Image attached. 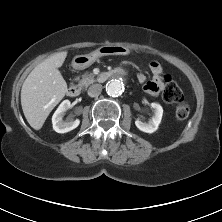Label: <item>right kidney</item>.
<instances>
[{"label": "right kidney", "mask_w": 222, "mask_h": 222, "mask_svg": "<svg viewBox=\"0 0 222 222\" xmlns=\"http://www.w3.org/2000/svg\"><path fill=\"white\" fill-rule=\"evenodd\" d=\"M70 106H71L70 101L64 100L59 105V107L57 108V110L55 111V113L52 116L53 129L57 133L69 132V131L75 129L76 127H78L80 124L79 119L73 120L72 118H69L66 121L63 120V116H64L65 112L70 108Z\"/></svg>", "instance_id": "right-kidney-1"}]
</instances>
